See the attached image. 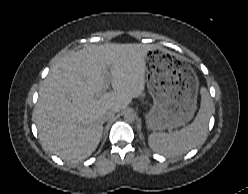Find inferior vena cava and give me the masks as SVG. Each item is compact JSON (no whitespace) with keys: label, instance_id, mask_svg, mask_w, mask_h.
<instances>
[{"label":"inferior vena cava","instance_id":"inferior-vena-cava-1","mask_svg":"<svg viewBox=\"0 0 248 194\" xmlns=\"http://www.w3.org/2000/svg\"><path fill=\"white\" fill-rule=\"evenodd\" d=\"M115 113H116L115 110H109V111H107L105 113V115H104V120L105 121L111 120L114 117Z\"/></svg>","mask_w":248,"mask_h":194}]
</instances>
